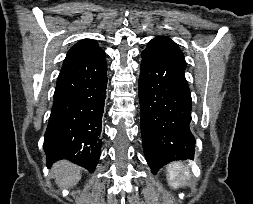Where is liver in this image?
I'll return each mask as SVG.
<instances>
[{
    "instance_id": "liver-1",
    "label": "liver",
    "mask_w": 253,
    "mask_h": 204,
    "mask_svg": "<svg viewBox=\"0 0 253 204\" xmlns=\"http://www.w3.org/2000/svg\"><path fill=\"white\" fill-rule=\"evenodd\" d=\"M56 183L61 187L71 188L81 179L80 167L63 160L56 162L52 167Z\"/></svg>"
}]
</instances>
